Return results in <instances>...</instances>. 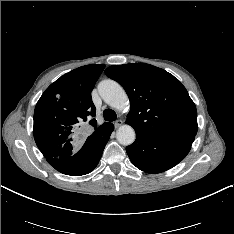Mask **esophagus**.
Returning <instances> with one entry per match:
<instances>
[{
    "mask_svg": "<svg viewBox=\"0 0 234 234\" xmlns=\"http://www.w3.org/2000/svg\"><path fill=\"white\" fill-rule=\"evenodd\" d=\"M123 124V121L121 119L116 120L114 123L115 128H119Z\"/></svg>",
    "mask_w": 234,
    "mask_h": 234,
    "instance_id": "1",
    "label": "esophagus"
}]
</instances>
